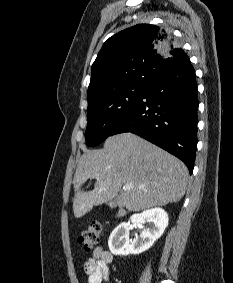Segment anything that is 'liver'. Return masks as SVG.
I'll return each mask as SVG.
<instances>
[{"mask_svg":"<svg viewBox=\"0 0 233 283\" xmlns=\"http://www.w3.org/2000/svg\"><path fill=\"white\" fill-rule=\"evenodd\" d=\"M89 179H96L94 188L81 191ZM187 183L188 169L175 156L132 133L110 136L102 150L87 151L78 162L74 216L80 218L115 197V205L129 211L165 206L181 200ZM125 184L133 187L126 189Z\"/></svg>","mask_w":233,"mask_h":283,"instance_id":"6515ba94","label":"liver"}]
</instances>
